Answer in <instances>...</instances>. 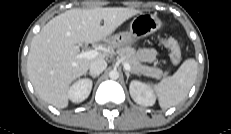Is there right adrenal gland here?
<instances>
[{"label":"right adrenal gland","instance_id":"1","mask_svg":"<svg viewBox=\"0 0 231 134\" xmlns=\"http://www.w3.org/2000/svg\"><path fill=\"white\" fill-rule=\"evenodd\" d=\"M89 75H90L93 79H95L96 77H98V75H92L91 73H89Z\"/></svg>","mask_w":231,"mask_h":134}]
</instances>
